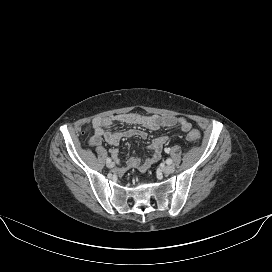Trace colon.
<instances>
[{
  "label": "colon",
  "mask_w": 272,
  "mask_h": 272,
  "mask_svg": "<svg viewBox=\"0 0 272 272\" xmlns=\"http://www.w3.org/2000/svg\"><path fill=\"white\" fill-rule=\"evenodd\" d=\"M200 137V133L195 130L190 131L186 136L187 140L190 142H198L200 140Z\"/></svg>",
  "instance_id": "1"
}]
</instances>
